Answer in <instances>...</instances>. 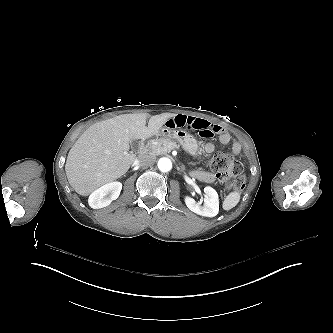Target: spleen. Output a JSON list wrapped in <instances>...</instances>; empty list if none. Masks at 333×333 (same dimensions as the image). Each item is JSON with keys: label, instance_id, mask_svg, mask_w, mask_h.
Returning a JSON list of instances; mask_svg holds the SVG:
<instances>
[{"label": "spleen", "instance_id": "spleen-1", "mask_svg": "<svg viewBox=\"0 0 333 333\" xmlns=\"http://www.w3.org/2000/svg\"><path fill=\"white\" fill-rule=\"evenodd\" d=\"M241 193L239 191L230 192L223 200L222 207L224 210L228 211L234 208L240 201Z\"/></svg>", "mask_w": 333, "mask_h": 333}]
</instances>
